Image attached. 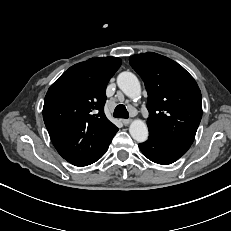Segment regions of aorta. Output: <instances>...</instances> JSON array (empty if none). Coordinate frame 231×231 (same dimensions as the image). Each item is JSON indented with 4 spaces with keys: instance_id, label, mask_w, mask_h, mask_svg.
I'll return each instance as SVG.
<instances>
[{
    "instance_id": "aorta-1",
    "label": "aorta",
    "mask_w": 231,
    "mask_h": 231,
    "mask_svg": "<svg viewBox=\"0 0 231 231\" xmlns=\"http://www.w3.org/2000/svg\"><path fill=\"white\" fill-rule=\"evenodd\" d=\"M117 85L125 95L130 98H137L141 93V86L138 78L131 72H122L117 77ZM131 137L137 142H144L148 138V127L143 120H133L129 127Z\"/></svg>"
}]
</instances>
